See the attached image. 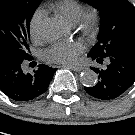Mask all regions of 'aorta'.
<instances>
[{
  "mask_svg": "<svg viewBox=\"0 0 135 135\" xmlns=\"http://www.w3.org/2000/svg\"><path fill=\"white\" fill-rule=\"evenodd\" d=\"M39 32L45 40L56 41L62 37L63 25L58 19L48 17L41 21ZM80 81L84 86L92 87L96 85L98 76L93 70L86 69L81 73Z\"/></svg>",
  "mask_w": 135,
  "mask_h": 135,
  "instance_id": "1",
  "label": "aorta"
}]
</instances>
